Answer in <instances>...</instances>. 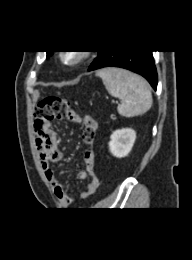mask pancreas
I'll return each instance as SVG.
<instances>
[{"mask_svg":"<svg viewBox=\"0 0 192 260\" xmlns=\"http://www.w3.org/2000/svg\"><path fill=\"white\" fill-rule=\"evenodd\" d=\"M111 119H115V115H111Z\"/></svg>","mask_w":192,"mask_h":260,"instance_id":"1","label":"pancreas"}]
</instances>
